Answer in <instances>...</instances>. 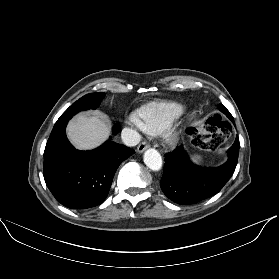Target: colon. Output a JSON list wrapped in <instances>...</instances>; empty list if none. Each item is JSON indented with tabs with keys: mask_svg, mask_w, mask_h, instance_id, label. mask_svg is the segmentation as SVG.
<instances>
[{
	"mask_svg": "<svg viewBox=\"0 0 279 279\" xmlns=\"http://www.w3.org/2000/svg\"><path fill=\"white\" fill-rule=\"evenodd\" d=\"M230 132V124L219 115H213L197 126L192 135V143L204 150H215L227 140Z\"/></svg>",
	"mask_w": 279,
	"mask_h": 279,
	"instance_id": "5ec220e1",
	"label": "colon"
}]
</instances>
